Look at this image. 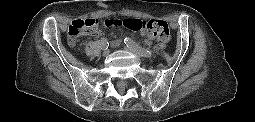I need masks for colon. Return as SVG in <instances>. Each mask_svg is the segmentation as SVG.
Instances as JSON below:
<instances>
[{
    "mask_svg": "<svg viewBox=\"0 0 255 122\" xmlns=\"http://www.w3.org/2000/svg\"><path fill=\"white\" fill-rule=\"evenodd\" d=\"M105 24L108 27L121 26L132 31H145L149 36L156 38L160 42H166L170 37V29L164 20L151 19L143 20L139 18H117L107 19ZM97 19L75 20L68 27V36L71 42L84 33L95 32L98 28Z\"/></svg>",
    "mask_w": 255,
    "mask_h": 122,
    "instance_id": "obj_1",
    "label": "colon"
}]
</instances>
